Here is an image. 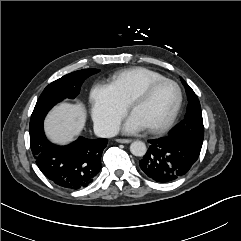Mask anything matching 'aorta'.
I'll list each match as a JSON object with an SVG mask.
<instances>
[{"label":"aorta","instance_id":"762f6f07","mask_svg":"<svg viewBox=\"0 0 241 241\" xmlns=\"http://www.w3.org/2000/svg\"><path fill=\"white\" fill-rule=\"evenodd\" d=\"M130 152L134 156H138V157H141V156L145 155V153H146V145H145V143L142 142V141H134L130 145Z\"/></svg>","mask_w":241,"mask_h":241}]
</instances>
